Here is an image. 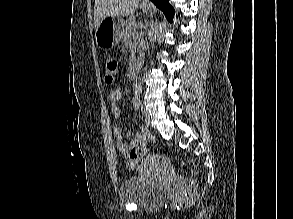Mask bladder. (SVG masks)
<instances>
[{
	"instance_id": "obj_1",
	"label": "bladder",
	"mask_w": 293,
	"mask_h": 219,
	"mask_svg": "<svg viewBox=\"0 0 293 219\" xmlns=\"http://www.w3.org/2000/svg\"><path fill=\"white\" fill-rule=\"evenodd\" d=\"M165 195L166 191L163 187L141 177H130L124 180L118 190V196L122 202L148 209L159 206Z\"/></svg>"
}]
</instances>
